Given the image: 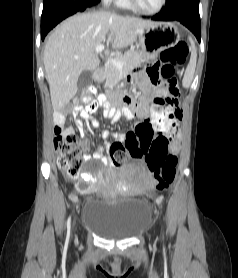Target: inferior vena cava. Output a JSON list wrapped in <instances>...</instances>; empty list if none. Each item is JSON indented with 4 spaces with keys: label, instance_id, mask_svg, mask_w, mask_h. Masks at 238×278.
<instances>
[{
    "label": "inferior vena cava",
    "instance_id": "1",
    "mask_svg": "<svg viewBox=\"0 0 238 278\" xmlns=\"http://www.w3.org/2000/svg\"><path fill=\"white\" fill-rule=\"evenodd\" d=\"M111 0H104V4H108Z\"/></svg>",
    "mask_w": 238,
    "mask_h": 278
}]
</instances>
